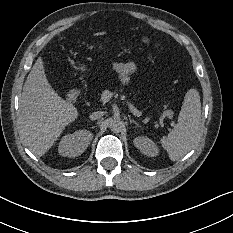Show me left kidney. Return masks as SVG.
Instances as JSON below:
<instances>
[{
	"label": "left kidney",
	"mask_w": 233,
	"mask_h": 233,
	"mask_svg": "<svg viewBox=\"0 0 233 233\" xmlns=\"http://www.w3.org/2000/svg\"><path fill=\"white\" fill-rule=\"evenodd\" d=\"M134 146L148 157H155L159 154L158 146L148 137L138 136L133 140Z\"/></svg>",
	"instance_id": "5707ae66"
}]
</instances>
